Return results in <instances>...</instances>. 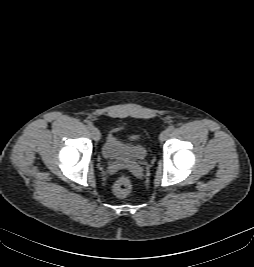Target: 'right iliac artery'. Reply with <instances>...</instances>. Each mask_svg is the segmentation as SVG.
<instances>
[{
	"instance_id": "right-iliac-artery-1",
	"label": "right iliac artery",
	"mask_w": 254,
	"mask_h": 267,
	"mask_svg": "<svg viewBox=\"0 0 254 267\" xmlns=\"http://www.w3.org/2000/svg\"><path fill=\"white\" fill-rule=\"evenodd\" d=\"M89 129H91L93 127V125L91 123H87L86 125Z\"/></svg>"
}]
</instances>
